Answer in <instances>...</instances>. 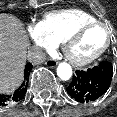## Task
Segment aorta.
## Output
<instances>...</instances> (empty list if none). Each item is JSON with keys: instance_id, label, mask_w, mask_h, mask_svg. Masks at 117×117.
<instances>
[{"instance_id": "1", "label": "aorta", "mask_w": 117, "mask_h": 117, "mask_svg": "<svg viewBox=\"0 0 117 117\" xmlns=\"http://www.w3.org/2000/svg\"><path fill=\"white\" fill-rule=\"evenodd\" d=\"M57 75L63 81L69 80L72 76L71 66L65 62L60 63L57 67Z\"/></svg>"}]
</instances>
